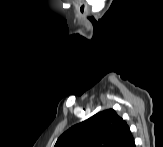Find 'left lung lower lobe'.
Instances as JSON below:
<instances>
[{
    "label": "left lung lower lobe",
    "instance_id": "obj_1",
    "mask_svg": "<svg viewBox=\"0 0 163 147\" xmlns=\"http://www.w3.org/2000/svg\"><path fill=\"white\" fill-rule=\"evenodd\" d=\"M115 147H135L134 138L131 134L129 127L125 129Z\"/></svg>",
    "mask_w": 163,
    "mask_h": 147
}]
</instances>
